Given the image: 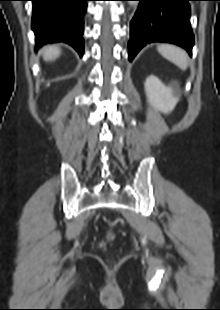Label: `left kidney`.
Wrapping results in <instances>:
<instances>
[{
  "instance_id": "left-kidney-1",
  "label": "left kidney",
  "mask_w": 220,
  "mask_h": 310,
  "mask_svg": "<svg viewBox=\"0 0 220 310\" xmlns=\"http://www.w3.org/2000/svg\"><path fill=\"white\" fill-rule=\"evenodd\" d=\"M145 92L149 103L158 111L168 114L173 110L171 94L157 77L149 76L146 79Z\"/></svg>"
}]
</instances>
